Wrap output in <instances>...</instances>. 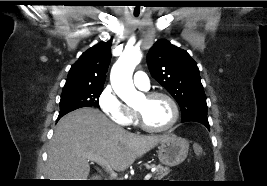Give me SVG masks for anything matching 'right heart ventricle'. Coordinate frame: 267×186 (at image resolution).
<instances>
[{"label": "right heart ventricle", "instance_id": "obj_1", "mask_svg": "<svg viewBox=\"0 0 267 186\" xmlns=\"http://www.w3.org/2000/svg\"><path fill=\"white\" fill-rule=\"evenodd\" d=\"M129 115H130V123L135 124L137 122L135 112L128 108Z\"/></svg>", "mask_w": 267, "mask_h": 186}]
</instances>
